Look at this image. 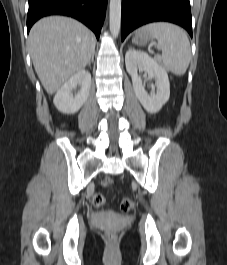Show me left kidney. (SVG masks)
<instances>
[{"mask_svg": "<svg viewBox=\"0 0 227 265\" xmlns=\"http://www.w3.org/2000/svg\"><path fill=\"white\" fill-rule=\"evenodd\" d=\"M126 70L132 78L134 92L144 109L155 114L168 101L170 96V83L166 70L147 53L128 50L125 55ZM138 69L147 72L149 79H155L156 94L149 95L143 86Z\"/></svg>", "mask_w": 227, "mask_h": 265, "instance_id": "1", "label": "left kidney"}]
</instances>
